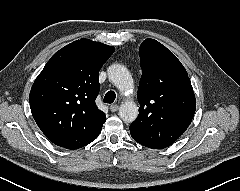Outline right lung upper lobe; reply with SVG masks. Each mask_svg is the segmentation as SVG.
I'll list each match as a JSON object with an SVG mask.
<instances>
[{
	"instance_id": "cb5924a9",
	"label": "right lung upper lobe",
	"mask_w": 240,
	"mask_h": 191,
	"mask_svg": "<svg viewBox=\"0 0 240 191\" xmlns=\"http://www.w3.org/2000/svg\"><path fill=\"white\" fill-rule=\"evenodd\" d=\"M115 48L76 40L47 62L29 96L34 120L54 144H74L93 136L106 116L96 106L99 70Z\"/></svg>"
}]
</instances>
